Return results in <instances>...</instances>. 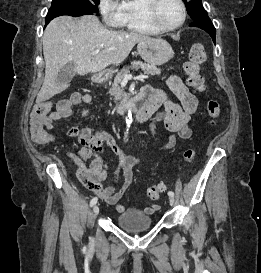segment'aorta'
Masks as SVG:
<instances>
[{
    "instance_id": "obj_1",
    "label": "aorta",
    "mask_w": 261,
    "mask_h": 273,
    "mask_svg": "<svg viewBox=\"0 0 261 273\" xmlns=\"http://www.w3.org/2000/svg\"><path fill=\"white\" fill-rule=\"evenodd\" d=\"M132 114H131V112L129 111L128 112V117L126 118V123H127V125L128 126H130L131 125V123H132Z\"/></svg>"
}]
</instances>
